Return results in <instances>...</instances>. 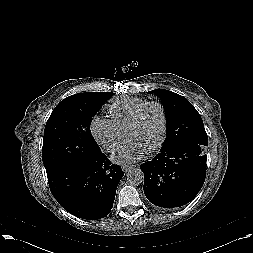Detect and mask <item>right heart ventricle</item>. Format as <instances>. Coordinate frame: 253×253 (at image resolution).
Segmentation results:
<instances>
[{
  "label": "right heart ventricle",
  "mask_w": 253,
  "mask_h": 253,
  "mask_svg": "<svg viewBox=\"0 0 253 253\" xmlns=\"http://www.w3.org/2000/svg\"><path fill=\"white\" fill-rule=\"evenodd\" d=\"M146 102L138 97L116 98L108 106L110 120L120 131H123L134 113Z\"/></svg>",
  "instance_id": "right-heart-ventricle-1"
}]
</instances>
